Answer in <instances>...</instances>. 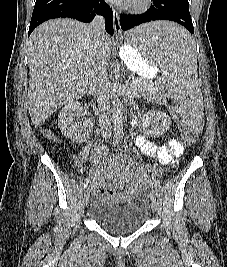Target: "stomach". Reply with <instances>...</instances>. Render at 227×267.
<instances>
[{
    "label": "stomach",
    "instance_id": "1",
    "mask_svg": "<svg viewBox=\"0 0 227 267\" xmlns=\"http://www.w3.org/2000/svg\"><path fill=\"white\" fill-rule=\"evenodd\" d=\"M121 58L131 71L147 78L153 76V72L158 66V63H147V59H142L138 47H127V43H124Z\"/></svg>",
    "mask_w": 227,
    "mask_h": 267
}]
</instances>
